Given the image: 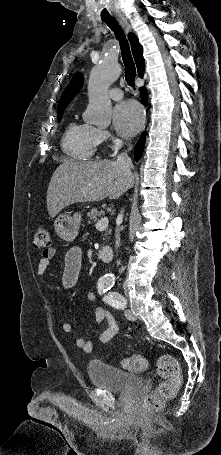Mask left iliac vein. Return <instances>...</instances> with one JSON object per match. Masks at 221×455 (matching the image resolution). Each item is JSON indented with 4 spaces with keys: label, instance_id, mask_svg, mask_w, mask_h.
<instances>
[{
    "label": "left iliac vein",
    "instance_id": "1",
    "mask_svg": "<svg viewBox=\"0 0 221 455\" xmlns=\"http://www.w3.org/2000/svg\"><path fill=\"white\" fill-rule=\"evenodd\" d=\"M124 314H125L126 318H127L128 320H130V321H136V320H137L136 316H135V315L132 313V311L129 310V309H126V310L124 311Z\"/></svg>",
    "mask_w": 221,
    "mask_h": 455
}]
</instances>
